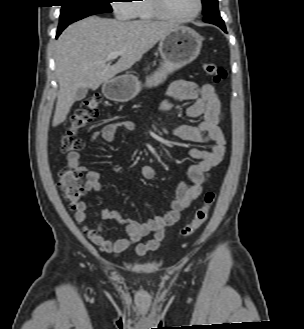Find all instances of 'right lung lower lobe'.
<instances>
[{
  "instance_id": "98d812e1",
  "label": "right lung lower lobe",
  "mask_w": 304,
  "mask_h": 329,
  "mask_svg": "<svg viewBox=\"0 0 304 329\" xmlns=\"http://www.w3.org/2000/svg\"><path fill=\"white\" fill-rule=\"evenodd\" d=\"M65 28H58L56 37L60 35V33L64 30Z\"/></svg>"
}]
</instances>
